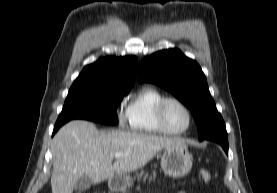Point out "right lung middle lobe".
<instances>
[{"mask_svg": "<svg viewBox=\"0 0 277 193\" xmlns=\"http://www.w3.org/2000/svg\"><path fill=\"white\" fill-rule=\"evenodd\" d=\"M127 93L128 91L70 89L57 122L85 119L114 125L117 122V107Z\"/></svg>", "mask_w": 277, "mask_h": 193, "instance_id": "1", "label": "right lung middle lobe"}]
</instances>
